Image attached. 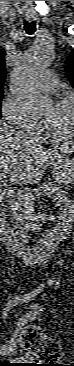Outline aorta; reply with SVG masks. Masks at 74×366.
Here are the masks:
<instances>
[{
    "label": "aorta",
    "instance_id": "aorta-1",
    "mask_svg": "<svg viewBox=\"0 0 74 366\" xmlns=\"http://www.w3.org/2000/svg\"><path fill=\"white\" fill-rule=\"evenodd\" d=\"M54 55L52 45L37 42L24 53L12 73L13 92L34 114H44L51 104L50 98L39 90V78L52 64Z\"/></svg>",
    "mask_w": 74,
    "mask_h": 366
}]
</instances>
